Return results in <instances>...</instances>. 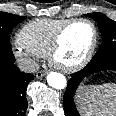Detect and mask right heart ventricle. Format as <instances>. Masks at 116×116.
I'll return each instance as SVG.
<instances>
[{
  "label": "right heart ventricle",
  "mask_w": 116,
  "mask_h": 116,
  "mask_svg": "<svg viewBox=\"0 0 116 116\" xmlns=\"http://www.w3.org/2000/svg\"><path fill=\"white\" fill-rule=\"evenodd\" d=\"M69 19H35L26 23L17 35V42L37 54L46 57L58 29Z\"/></svg>",
  "instance_id": "right-heart-ventricle-1"
}]
</instances>
